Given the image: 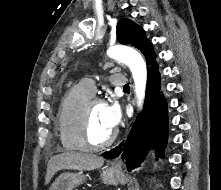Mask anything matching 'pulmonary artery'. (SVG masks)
<instances>
[{
    "instance_id": "pulmonary-artery-1",
    "label": "pulmonary artery",
    "mask_w": 221,
    "mask_h": 190,
    "mask_svg": "<svg viewBox=\"0 0 221 190\" xmlns=\"http://www.w3.org/2000/svg\"><path fill=\"white\" fill-rule=\"evenodd\" d=\"M110 83L116 87H124L127 84V79L123 74L114 73L110 76ZM81 85L91 95L95 94L96 86L92 78H85L82 80Z\"/></svg>"
}]
</instances>
